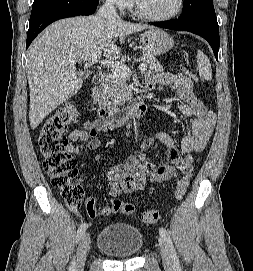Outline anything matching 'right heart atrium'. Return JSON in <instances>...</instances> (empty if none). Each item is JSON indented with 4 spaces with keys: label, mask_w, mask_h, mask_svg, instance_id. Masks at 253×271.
I'll list each match as a JSON object with an SVG mask.
<instances>
[{
    "label": "right heart atrium",
    "mask_w": 253,
    "mask_h": 271,
    "mask_svg": "<svg viewBox=\"0 0 253 271\" xmlns=\"http://www.w3.org/2000/svg\"><path fill=\"white\" fill-rule=\"evenodd\" d=\"M107 3L117 9H123L128 6L130 0H106Z\"/></svg>",
    "instance_id": "1"
}]
</instances>
